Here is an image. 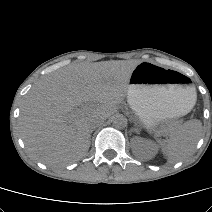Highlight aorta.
<instances>
[{"instance_id": "1", "label": "aorta", "mask_w": 212, "mask_h": 212, "mask_svg": "<svg viewBox=\"0 0 212 212\" xmlns=\"http://www.w3.org/2000/svg\"><path fill=\"white\" fill-rule=\"evenodd\" d=\"M113 126L116 128H124L127 125V119L122 114H117L113 117Z\"/></svg>"}]
</instances>
